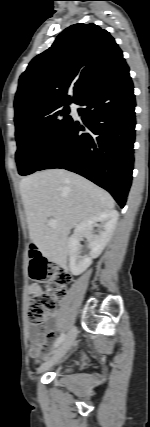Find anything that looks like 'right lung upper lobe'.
Returning <instances> with one entry per match:
<instances>
[{
  "label": "right lung upper lobe",
  "mask_w": 150,
  "mask_h": 427,
  "mask_svg": "<svg viewBox=\"0 0 150 427\" xmlns=\"http://www.w3.org/2000/svg\"><path fill=\"white\" fill-rule=\"evenodd\" d=\"M127 66L106 30L90 24L66 28L20 76L15 121L47 107L78 103L89 91ZM69 88L72 97L67 96Z\"/></svg>",
  "instance_id": "cb5924a9"
}]
</instances>
